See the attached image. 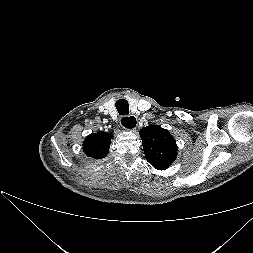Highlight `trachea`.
Listing matches in <instances>:
<instances>
[{
  "mask_svg": "<svg viewBox=\"0 0 253 253\" xmlns=\"http://www.w3.org/2000/svg\"><path fill=\"white\" fill-rule=\"evenodd\" d=\"M116 109L120 115L129 114V104L125 99H119L115 103Z\"/></svg>",
  "mask_w": 253,
  "mask_h": 253,
  "instance_id": "trachea-1",
  "label": "trachea"
}]
</instances>
